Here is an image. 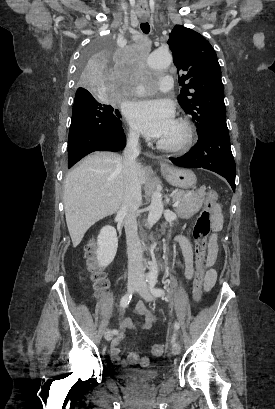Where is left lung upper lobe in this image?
<instances>
[{"mask_svg":"<svg viewBox=\"0 0 275 409\" xmlns=\"http://www.w3.org/2000/svg\"><path fill=\"white\" fill-rule=\"evenodd\" d=\"M168 44L182 86L178 101L196 122L198 135L210 128H227L221 68L211 44L182 25H175Z\"/></svg>","mask_w":275,"mask_h":409,"instance_id":"1","label":"left lung upper lobe"}]
</instances>
